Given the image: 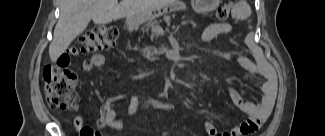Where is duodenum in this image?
Masks as SVG:
<instances>
[{
  "mask_svg": "<svg viewBox=\"0 0 325 136\" xmlns=\"http://www.w3.org/2000/svg\"><path fill=\"white\" fill-rule=\"evenodd\" d=\"M163 72L162 68H154V69H148L147 73L150 75H158L161 74Z\"/></svg>",
  "mask_w": 325,
  "mask_h": 136,
  "instance_id": "duodenum-1",
  "label": "duodenum"
}]
</instances>
